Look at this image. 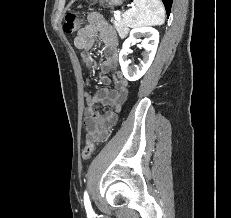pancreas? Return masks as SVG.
I'll list each match as a JSON object with an SVG mask.
<instances>
[{
  "instance_id": "1",
  "label": "pancreas",
  "mask_w": 231,
  "mask_h": 218,
  "mask_svg": "<svg viewBox=\"0 0 231 218\" xmlns=\"http://www.w3.org/2000/svg\"><path fill=\"white\" fill-rule=\"evenodd\" d=\"M112 23L114 24L119 36L121 38L125 37L129 31L127 25L125 24L124 20L119 19V20H115L112 21Z\"/></svg>"
}]
</instances>
